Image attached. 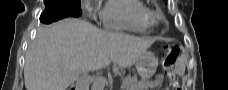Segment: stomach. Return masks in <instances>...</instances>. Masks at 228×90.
<instances>
[{
    "mask_svg": "<svg viewBox=\"0 0 228 90\" xmlns=\"http://www.w3.org/2000/svg\"><path fill=\"white\" fill-rule=\"evenodd\" d=\"M158 58L154 53L146 51L136 61V69L143 80L149 79L156 71Z\"/></svg>",
    "mask_w": 228,
    "mask_h": 90,
    "instance_id": "stomach-1",
    "label": "stomach"
}]
</instances>
